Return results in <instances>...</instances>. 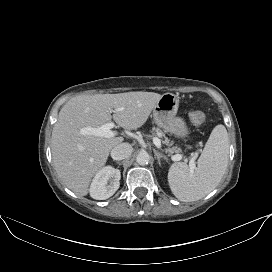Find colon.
Listing matches in <instances>:
<instances>
[{
    "label": "colon",
    "mask_w": 272,
    "mask_h": 272,
    "mask_svg": "<svg viewBox=\"0 0 272 272\" xmlns=\"http://www.w3.org/2000/svg\"><path fill=\"white\" fill-rule=\"evenodd\" d=\"M188 116L190 121L196 126H200L205 122V114L201 111H191Z\"/></svg>",
    "instance_id": "colon-1"
}]
</instances>
